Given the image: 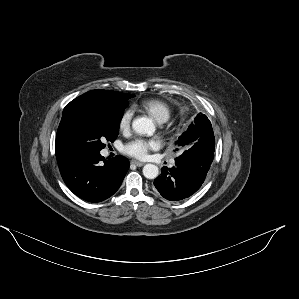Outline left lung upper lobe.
I'll return each instance as SVG.
<instances>
[{"label": "left lung upper lobe", "instance_id": "5c2ea615", "mask_svg": "<svg viewBox=\"0 0 299 299\" xmlns=\"http://www.w3.org/2000/svg\"><path fill=\"white\" fill-rule=\"evenodd\" d=\"M176 151L187 160L199 161L210 167L215 150V137L211 122L199 114L176 142Z\"/></svg>", "mask_w": 299, "mask_h": 299}]
</instances>
